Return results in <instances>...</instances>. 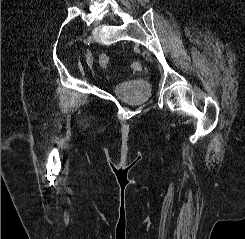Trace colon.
Here are the masks:
<instances>
[{"label": "colon", "mask_w": 245, "mask_h": 239, "mask_svg": "<svg viewBox=\"0 0 245 239\" xmlns=\"http://www.w3.org/2000/svg\"><path fill=\"white\" fill-rule=\"evenodd\" d=\"M99 63L102 67H108L110 63V57L106 54H101L99 56Z\"/></svg>", "instance_id": "5ec220e1"}]
</instances>
